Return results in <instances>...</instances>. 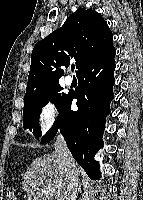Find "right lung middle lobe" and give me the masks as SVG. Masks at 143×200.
<instances>
[{"instance_id": "dd1d6c3e", "label": "right lung middle lobe", "mask_w": 143, "mask_h": 200, "mask_svg": "<svg viewBox=\"0 0 143 200\" xmlns=\"http://www.w3.org/2000/svg\"><path fill=\"white\" fill-rule=\"evenodd\" d=\"M62 89L59 83H56L25 95L23 108L24 129H29L36 137L42 134L38 124L42 107L51 101L60 110L68 97V94L63 93Z\"/></svg>"}]
</instances>
